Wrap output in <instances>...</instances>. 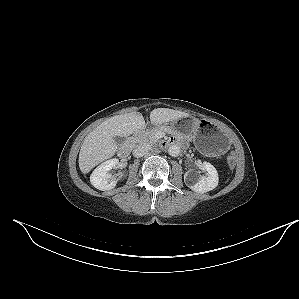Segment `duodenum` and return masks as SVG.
Masks as SVG:
<instances>
[{"mask_svg":"<svg viewBox=\"0 0 299 299\" xmlns=\"http://www.w3.org/2000/svg\"><path fill=\"white\" fill-rule=\"evenodd\" d=\"M182 143H183V140H181L179 138H171L169 140L163 141L162 146H170L173 144H182ZM131 148H132L131 140H128L125 143H123L118 150L119 157H121V158L128 157L130 154Z\"/></svg>","mask_w":299,"mask_h":299,"instance_id":"410a0bca","label":"duodenum"}]
</instances>
